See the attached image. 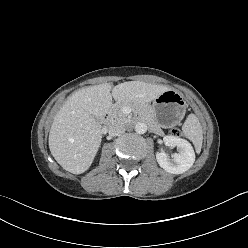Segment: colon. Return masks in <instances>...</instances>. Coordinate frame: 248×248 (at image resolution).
<instances>
[{
	"label": "colon",
	"instance_id": "colon-1",
	"mask_svg": "<svg viewBox=\"0 0 248 248\" xmlns=\"http://www.w3.org/2000/svg\"><path fill=\"white\" fill-rule=\"evenodd\" d=\"M172 131H173L174 133H178V132H179L178 128H173Z\"/></svg>",
	"mask_w": 248,
	"mask_h": 248
}]
</instances>
